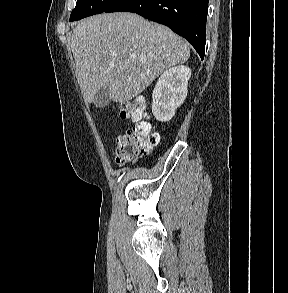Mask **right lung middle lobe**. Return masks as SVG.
<instances>
[{
    "label": "right lung middle lobe",
    "mask_w": 288,
    "mask_h": 293,
    "mask_svg": "<svg viewBox=\"0 0 288 293\" xmlns=\"http://www.w3.org/2000/svg\"><path fill=\"white\" fill-rule=\"evenodd\" d=\"M117 1L119 0H77L76 7L71 12L70 21L105 12Z\"/></svg>",
    "instance_id": "1"
}]
</instances>
